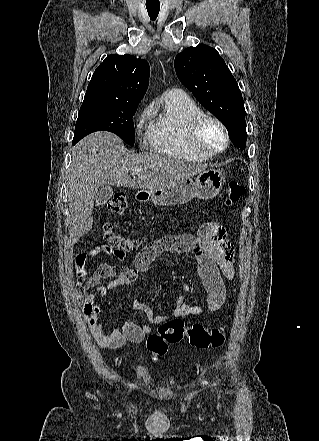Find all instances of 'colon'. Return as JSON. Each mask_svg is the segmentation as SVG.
I'll use <instances>...</instances> for the list:
<instances>
[{
    "mask_svg": "<svg viewBox=\"0 0 319 441\" xmlns=\"http://www.w3.org/2000/svg\"><path fill=\"white\" fill-rule=\"evenodd\" d=\"M245 193V188L237 181H231L228 188L222 194L226 207H232ZM108 209L116 214H122L127 207V199L124 193L116 192L108 202ZM104 240L106 249L116 259H123L129 252L137 250L142 241L137 238L125 237L117 233L110 224L104 226ZM85 267L77 272L78 283H85L87 276ZM187 336L192 346L199 349H216L223 345L226 339V331L223 327L207 329L201 324H195L185 328L179 317L169 318L162 322L156 333L147 338V349L152 353L153 359L166 354L169 344H174Z\"/></svg>",
    "mask_w": 319,
    "mask_h": 441,
    "instance_id": "5ec220e1",
    "label": "colon"
}]
</instances>
